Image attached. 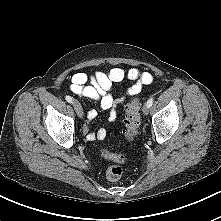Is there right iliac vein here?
<instances>
[{
    "mask_svg": "<svg viewBox=\"0 0 221 221\" xmlns=\"http://www.w3.org/2000/svg\"><path fill=\"white\" fill-rule=\"evenodd\" d=\"M72 104H73V107L77 113V115L80 117V118H83V109H82V106L81 104L77 101V100H73L72 101Z\"/></svg>",
    "mask_w": 221,
    "mask_h": 221,
    "instance_id": "1",
    "label": "right iliac vein"
}]
</instances>
